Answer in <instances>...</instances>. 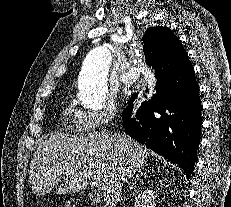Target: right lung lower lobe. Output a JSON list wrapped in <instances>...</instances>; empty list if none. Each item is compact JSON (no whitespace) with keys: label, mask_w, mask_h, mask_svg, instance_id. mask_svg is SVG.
Returning <instances> with one entry per match:
<instances>
[{"label":"right lung lower lobe","mask_w":231,"mask_h":207,"mask_svg":"<svg viewBox=\"0 0 231 207\" xmlns=\"http://www.w3.org/2000/svg\"><path fill=\"white\" fill-rule=\"evenodd\" d=\"M156 27L148 28L147 39ZM158 66H161L159 64ZM153 94L138 106L132 95L123 111L126 134L178 164L190 177L201 133V100L191 62L180 68L160 69Z\"/></svg>","instance_id":"obj_1"}]
</instances>
